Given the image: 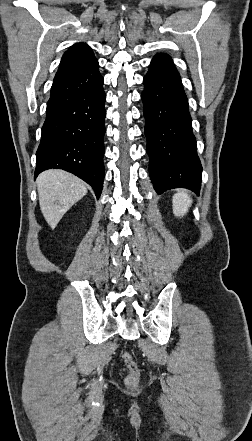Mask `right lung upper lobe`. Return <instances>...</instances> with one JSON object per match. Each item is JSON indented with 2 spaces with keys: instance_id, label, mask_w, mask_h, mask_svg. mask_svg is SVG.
Masks as SVG:
<instances>
[{
  "instance_id": "1",
  "label": "right lung upper lobe",
  "mask_w": 252,
  "mask_h": 441,
  "mask_svg": "<svg viewBox=\"0 0 252 441\" xmlns=\"http://www.w3.org/2000/svg\"><path fill=\"white\" fill-rule=\"evenodd\" d=\"M92 49L84 43L74 44L62 57L55 78L96 62Z\"/></svg>"
}]
</instances>
